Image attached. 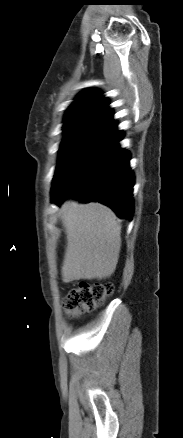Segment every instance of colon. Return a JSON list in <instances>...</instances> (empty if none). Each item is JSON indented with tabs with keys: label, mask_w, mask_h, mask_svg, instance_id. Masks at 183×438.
Returning <instances> with one entry per match:
<instances>
[{
	"label": "colon",
	"mask_w": 183,
	"mask_h": 438,
	"mask_svg": "<svg viewBox=\"0 0 183 438\" xmlns=\"http://www.w3.org/2000/svg\"><path fill=\"white\" fill-rule=\"evenodd\" d=\"M110 283L80 282L65 297L64 307L69 317H78L85 312L95 310L112 294Z\"/></svg>",
	"instance_id": "1"
}]
</instances>
